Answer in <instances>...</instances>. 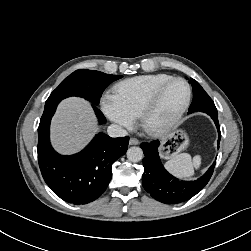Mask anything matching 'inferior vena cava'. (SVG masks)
<instances>
[{
	"mask_svg": "<svg viewBox=\"0 0 251 251\" xmlns=\"http://www.w3.org/2000/svg\"><path fill=\"white\" fill-rule=\"evenodd\" d=\"M107 132L110 137H124L128 135V132L117 124H111L108 127Z\"/></svg>",
	"mask_w": 251,
	"mask_h": 251,
	"instance_id": "inferior-vena-cava-1",
	"label": "inferior vena cava"
}]
</instances>
